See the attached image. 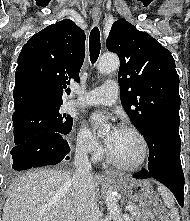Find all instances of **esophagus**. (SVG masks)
Masks as SVG:
<instances>
[{
	"label": "esophagus",
	"instance_id": "34e87169",
	"mask_svg": "<svg viewBox=\"0 0 190 221\" xmlns=\"http://www.w3.org/2000/svg\"><path fill=\"white\" fill-rule=\"evenodd\" d=\"M101 17V10L98 8H95L92 10V18L94 23H98ZM107 175H111V176H117V173L112 171V170H106L105 172Z\"/></svg>",
	"mask_w": 190,
	"mask_h": 221
}]
</instances>
